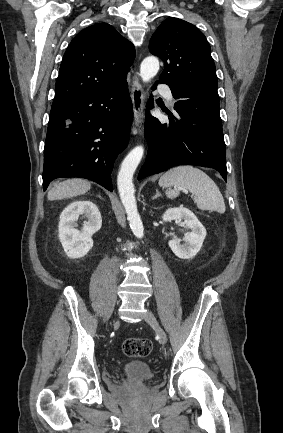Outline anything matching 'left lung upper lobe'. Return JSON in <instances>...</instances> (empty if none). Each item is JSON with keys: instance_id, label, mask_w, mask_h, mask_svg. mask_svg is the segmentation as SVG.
<instances>
[{"instance_id": "5c2ea615", "label": "left lung upper lobe", "mask_w": 283, "mask_h": 433, "mask_svg": "<svg viewBox=\"0 0 283 433\" xmlns=\"http://www.w3.org/2000/svg\"><path fill=\"white\" fill-rule=\"evenodd\" d=\"M149 50L164 61L159 82L169 85L175 110L222 125L216 68L204 34L191 23L169 17L152 35Z\"/></svg>"}]
</instances>
